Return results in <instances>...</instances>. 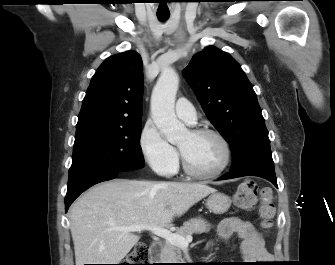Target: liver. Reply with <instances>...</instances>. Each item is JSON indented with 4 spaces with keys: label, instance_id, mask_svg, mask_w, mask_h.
Masks as SVG:
<instances>
[{
    "label": "liver",
    "instance_id": "obj_1",
    "mask_svg": "<svg viewBox=\"0 0 335 265\" xmlns=\"http://www.w3.org/2000/svg\"><path fill=\"white\" fill-rule=\"evenodd\" d=\"M202 183L116 179L98 184L70 208V230L76 265L119 264L140 239L115 230L131 225L168 227L207 195Z\"/></svg>",
    "mask_w": 335,
    "mask_h": 265
}]
</instances>
